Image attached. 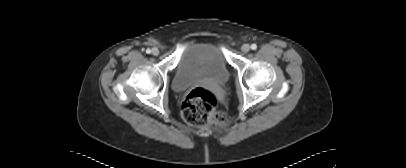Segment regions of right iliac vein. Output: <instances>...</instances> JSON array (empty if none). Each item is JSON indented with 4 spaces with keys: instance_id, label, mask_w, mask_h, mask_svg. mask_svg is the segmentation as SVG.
Here are the masks:
<instances>
[{
    "instance_id": "obj_1",
    "label": "right iliac vein",
    "mask_w": 406,
    "mask_h": 168,
    "mask_svg": "<svg viewBox=\"0 0 406 168\" xmlns=\"http://www.w3.org/2000/svg\"><path fill=\"white\" fill-rule=\"evenodd\" d=\"M151 53H152L154 56H157V55L159 54V49H158L157 47H154V48H152Z\"/></svg>"
}]
</instances>
